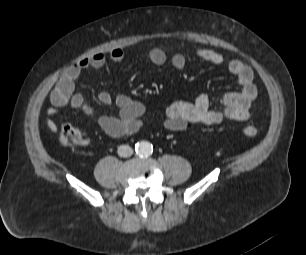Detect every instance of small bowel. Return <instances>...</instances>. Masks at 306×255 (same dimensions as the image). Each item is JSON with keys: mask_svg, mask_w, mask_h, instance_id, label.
<instances>
[{"mask_svg": "<svg viewBox=\"0 0 306 255\" xmlns=\"http://www.w3.org/2000/svg\"><path fill=\"white\" fill-rule=\"evenodd\" d=\"M196 56L215 66H225L227 71L236 78L239 90L222 96L221 109H211L210 100L206 94L199 95L193 102L175 101L165 111L164 127L170 131L179 132L194 123L216 125L224 120H247L250 117L251 105L257 96L252 69L240 60L226 59L212 49H199L196 51ZM108 57L111 61L118 63L123 60L124 52L121 48H113ZM145 58L156 66H162L167 62L166 53L157 47L149 49L145 53ZM106 62V55L95 53L73 63L62 73L50 93L52 106L47 111V127L51 131L57 129L53 119L57 108L70 105L87 116L94 115L93 107L83 95L75 92V87L85 69H101ZM186 62V57L182 53H176L170 58V64L176 70L185 68ZM98 100L104 105L115 104L119 109L117 116L102 115L96 118L97 124L107 135L123 137L134 134L140 129L141 118L145 113L143 103L125 94L113 95L107 91L100 92Z\"/></svg>", "mask_w": 306, "mask_h": 255, "instance_id": "c3829d8e", "label": "small bowel"}]
</instances>
